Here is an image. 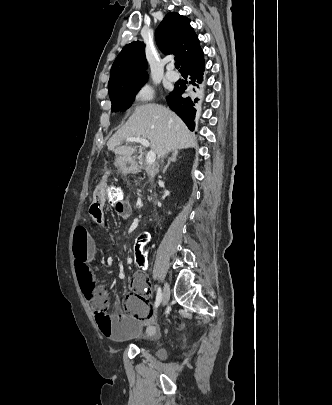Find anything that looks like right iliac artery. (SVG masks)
<instances>
[{
  "mask_svg": "<svg viewBox=\"0 0 332 405\" xmlns=\"http://www.w3.org/2000/svg\"><path fill=\"white\" fill-rule=\"evenodd\" d=\"M161 301H162V290L159 287L157 290V296H156L154 308H157L160 305Z\"/></svg>",
  "mask_w": 332,
  "mask_h": 405,
  "instance_id": "right-iliac-artery-1",
  "label": "right iliac artery"
}]
</instances>
